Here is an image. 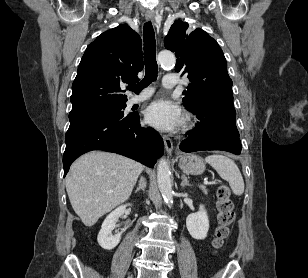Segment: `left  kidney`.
<instances>
[{
  "instance_id": "left-kidney-1",
  "label": "left kidney",
  "mask_w": 308,
  "mask_h": 278,
  "mask_svg": "<svg viewBox=\"0 0 308 278\" xmlns=\"http://www.w3.org/2000/svg\"><path fill=\"white\" fill-rule=\"evenodd\" d=\"M186 226L190 235L197 240H204L209 230V219L203 205H200L199 211L187 216Z\"/></svg>"
}]
</instances>
